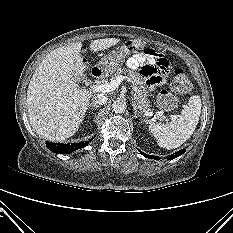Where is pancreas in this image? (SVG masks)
<instances>
[{"label":"pancreas","mask_w":233,"mask_h":233,"mask_svg":"<svg viewBox=\"0 0 233 233\" xmlns=\"http://www.w3.org/2000/svg\"><path fill=\"white\" fill-rule=\"evenodd\" d=\"M121 74H128V80L132 84V89L137 96L139 107L144 111H150V102L147 100V92L144 79L137 73L126 68H119L116 70L112 79L117 78Z\"/></svg>","instance_id":"obj_1"}]
</instances>
